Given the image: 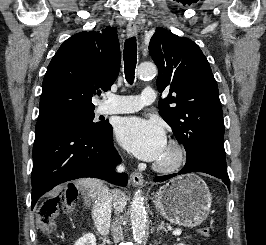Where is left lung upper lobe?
I'll return each mask as SVG.
<instances>
[{"mask_svg": "<svg viewBox=\"0 0 266 245\" xmlns=\"http://www.w3.org/2000/svg\"><path fill=\"white\" fill-rule=\"evenodd\" d=\"M158 67L159 114L192 160L206 147L224 150V123L217 82L199 46L158 27L149 44ZM170 104L172 106H170Z\"/></svg>", "mask_w": 266, "mask_h": 245, "instance_id": "1", "label": "left lung upper lobe"}]
</instances>
